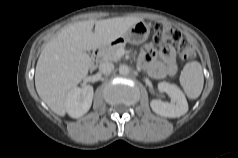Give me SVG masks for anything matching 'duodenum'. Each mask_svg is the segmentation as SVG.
<instances>
[{"label": "duodenum", "instance_id": "410a0bca", "mask_svg": "<svg viewBox=\"0 0 238 158\" xmlns=\"http://www.w3.org/2000/svg\"><path fill=\"white\" fill-rule=\"evenodd\" d=\"M100 50H101V46H98V47L94 48L91 53L90 65L92 67L98 63Z\"/></svg>", "mask_w": 238, "mask_h": 158}]
</instances>
